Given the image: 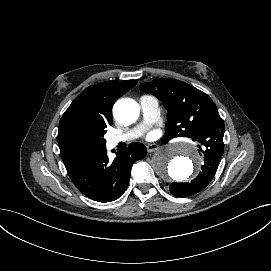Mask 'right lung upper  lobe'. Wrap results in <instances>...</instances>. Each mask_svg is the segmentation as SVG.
Masks as SVG:
<instances>
[{
	"mask_svg": "<svg viewBox=\"0 0 271 271\" xmlns=\"http://www.w3.org/2000/svg\"><path fill=\"white\" fill-rule=\"evenodd\" d=\"M137 83L136 80L107 81L83 90L63 114L59 123L58 137L69 124L85 122L98 125H112V106L123 94ZM59 144V142H58ZM60 147V146H59ZM64 164L81 156L60 147Z\"/></svg>",
	"mask_w": 271,
	"mask_h": 271,
	"instance_id": "obj_1",
	"label": "right lung upper lobe"
}]
</instances>
